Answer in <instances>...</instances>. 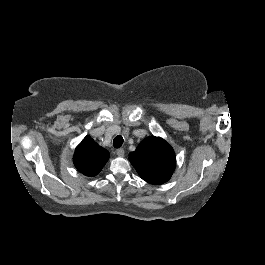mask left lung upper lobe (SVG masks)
I'll list each match as a JSON object with an SVG mask.
<instances>
[{
  "label": "left lung upper lobe",
  "mask_w": 265,
  "mask_h": 265,
  "mask_svg": "<svg viewBox=\"0 0 265 265\" xmlns=\"http://www.w3.org/2000/svg\"><path fill=\"white\" fill-rule=\"evenodd\" d=\"M140 177L151 184L168 181L175 169V153L162 138L147 137L129 154Z\"/></svg>",
  "instance_id": "1"
}]
</instances>
